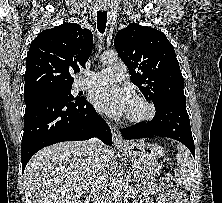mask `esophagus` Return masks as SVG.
Listing matches in <instances>:
<instances>
[{
	"label": "esophagus",
	"instance_id": "34e87169",
	"mask_svg": "<svg viewBox=\"0 0 222 203\" xmlns=\"http://www.w3.org/2000/svg\"><path fill=\"white\" fill-rule=\"evenodd\" d=\"M99 9L101 11H104L106 9V5L105 4H100L99 5ZM111 132H112V138H113V145L115 147H122L125 145V142L123 141L120 131L116 126H112L111 127Z\"/></svg>",
	"mask_w": 222,
	"mask_h": 203
}]
</instances>
